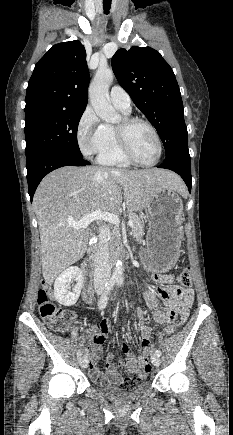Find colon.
<instances>
[{"mask_svg":"<svg viewBox=\"0 0 233 435\" xmlns=\"http://www.w3.org/2000/svg\"><path fill=\"white\" fill-rule=\"evenodd\" d=\"M178 283L182 287L188 288L191 286V276L188 268L183 269L178 275ZM52 289L47 284H42L37 294V304L42 319L46 322L48 327L55 332H66L74 318L73 313L68 309H62L56 307L50 300ZM188 315V309L183 310L182 317L185 318ZM150 371L149 365L140 368L137 372ZM138 384L137 379H129L122 383L124 390H130Z\"/></svg>","mask_w":233,"mask_h":435,"instance_id":"1","label":"colon"}]
</instances>
